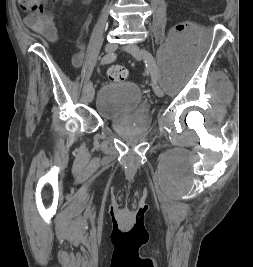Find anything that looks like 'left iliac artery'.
Returning a JSON list of instances; mask_svg holds the SVG:
<instances>
[{
	"mask_svg": "<svg viewBox=\"0 0 253 267\" xmlns=\"http://www.w3.org/2000/svg\"><path fill=\"white\" fill-rule=\"evenodd\" d=\"M146 52V50H143ZM152 55V54H151ZM151 55H146L144 57L145 63H146V67L150 70L151 72V76H152V80L154 82L155 85H157V80H158V76H157V66H156V62L153 56Z\"/></svg>",
	"mask_w": 253,
	"mask_h": 267,
	"instance_id": "left-iliac-artery-1",
	"label": "left iliac artery"
}]
</instances>
